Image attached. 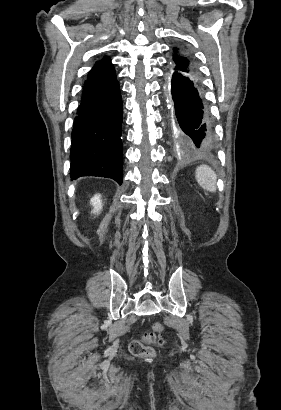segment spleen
<instances>
[{
	"mask_svg": "<svg viewBox=\"0 0 281 410\" xmlns=\"http://www.w3.org/2000/svg\"><path fill=\"white\" fill-rule=\"evenodd\" d=\"M195 177L198 184L209 192L216 191V173L207 165H200L196 168Z\"/></svg>",
	"mask_w": 281,
	"mask_h": 410,
	"instance_id": "1",
	"label": "spleen"
}]
</instances>
